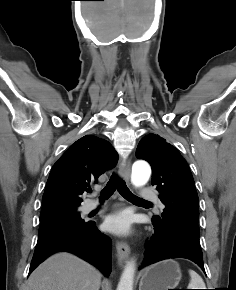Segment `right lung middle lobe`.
Listing matches in <instances>:
<instances>
[{
	"label": "right lung middle lobe",
	"mask_w": 236,
	"mask_h": 290,
	"mask_svg": "<svg viewBox=\"0 0 236 290\" xmlns=\"http://www.w3.org/2000/svg\"><path fill=\"white\" fill-rule=\"evenodd\" d=\"M77 208H64L41 212L39 235L53 230L75 227L84 224Z\"/></svg>",
	"instance_id": "dd1d6c3e"
}]
</instances>
